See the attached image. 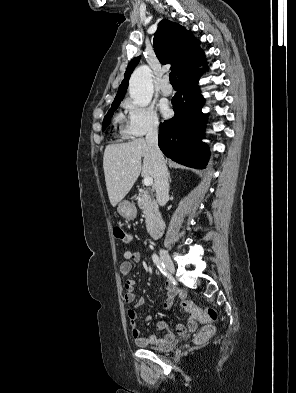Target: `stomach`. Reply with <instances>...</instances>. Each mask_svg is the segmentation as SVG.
<instances>
[{
    "label": "stomach",
    "mask_w": 296,
    "mask_h": 393,
    "mask_svg": "<svg viewBox=\"0 0 296 393\" xmlns=\"http://www.w3.org/2000/svg\"><path fill=\"white\" fill-rule=\"evenodd\" d=\"M117 211L126 220H133L137 215L134 204L129 201L120 202Z\"/></svg>",
    "instance_id": "0dacf381"
}]
</instances>
